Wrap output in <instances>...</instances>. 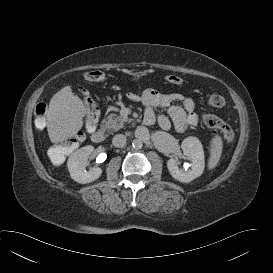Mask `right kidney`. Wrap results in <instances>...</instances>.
<instances>
[{"label":"right kidney","instance_id":"1","mask_svg":"<svg viewBox=\"0 0 273 273\" xmlns=\"http://www.w3.org/2000/svg\"><path fill=\"white\" fill-rule=\"evenodd\" d=\"M94 147L91 145L82 147L73 152L67 161L68 170L71 178L81 184H86L95 181L102 174V169L99 167L85 169L87 160L92 154Z\"/></svg>","mask_w":273,"mask_h":273}]
</instances>
